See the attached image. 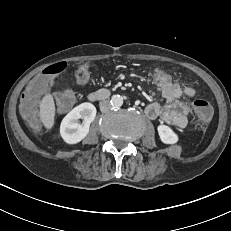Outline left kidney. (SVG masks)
<instances>
[{"instance_id": "left-kidney-1", "label": "left kidney", "mask_w": 231, "mask_h": 231, "mask_svg": "<svg viewBox=\"0 0 231 231\" xmlns=\"http://www.w3.org/2000/svg\"><path fill=\"white\" fill-rule=\"evenodd\" d=\"M159 137L165 144H175L178 142V135L167 125L157 127Z\"/></svg>"}]
</instances>
